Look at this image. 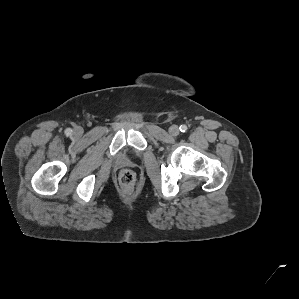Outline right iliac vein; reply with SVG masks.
Listing matches in <instances>:
<instances>
[{
    "label": "right iliac vein",
    "instance_id": "obj_1",
    "mask_svg": "<svg viewBox=\"0 0 299 299\" xmlns=\"http://www.w3.org/2000/svg\"><path fill=\"white\" fill-rule=\"evenodd\" d=\"M83 133V130L79 127H77L75 130H74V134L76 136H80L81 134Z\"/></svg>",
    "mask_w": 299,
    "mask_h": 299
}]
</instances>
